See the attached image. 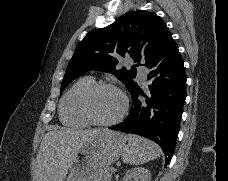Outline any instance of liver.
Listing matches in <instances>:
<instances>
[{
    "mask_svg": "<svg viewBox=\"0 0 228 181\" xmlns=\"http://www.w3.org/2000/svg\"><path fill=\"white\" fill-rule=\"evenodd\" d=\"M103 129L77 131V129H49L44 135L36 159L37 181H63L73 159L89 141V137Z\"/></svg>",
    "mask_w": 228,
    "mask_h": 181,
    "instance_id": "6515ba94",
    "label": "liver"
}]
</instances>
